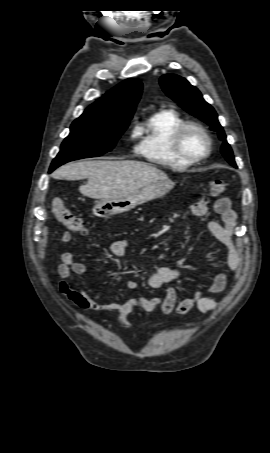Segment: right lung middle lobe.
<instances>
[{
  "mask_svg": "<svg viewBox=\"0 0 270 453\" xmlns=\"http://www.w3.org/2000/svg\"><path fill=\"white\" fill-rule=\"evenodd\" d=\"M127 127L128 125L111 124L91 118L76 119L51 164L50 172L66 162L96 157L111 151Z\"/></svg>",
  "mask_w": 270,
  "mask_h": 453,
  "instance_id": "right-lung-middle-lobe-1",
  "label": "right lung middle lobe"
}]
</instances>
